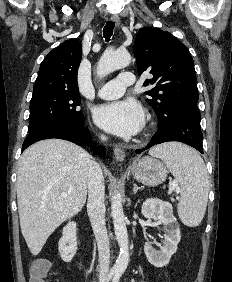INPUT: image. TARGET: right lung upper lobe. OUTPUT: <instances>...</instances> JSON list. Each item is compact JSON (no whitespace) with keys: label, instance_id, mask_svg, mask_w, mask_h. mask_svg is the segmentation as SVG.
<instances>
[{"label":"right lung upper lobe","instance_id":"1","mask_svg":"<svg viewBox=\"0 0 232 282\" xmlns=\"http://www.w3.org/2000/svg\"><path fill=\"white\" fill-rule=\"evenodd\" d=\"M81 58L82 45L76 38L60 44L41 63L33 92L78 91L77 72Z\"/></svg>","mask_w":232,"mask_h":282}]
</instances>
